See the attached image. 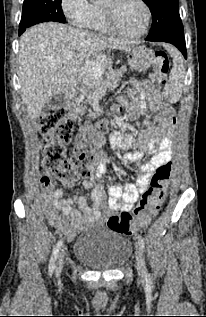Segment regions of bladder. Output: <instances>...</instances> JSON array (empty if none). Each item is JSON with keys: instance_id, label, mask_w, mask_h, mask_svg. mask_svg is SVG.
Returning a JSON list of instances; mask_svg holds the SVG:
<instances>
[{"instance_id": "31cf9c89", "label": "bladder", "mask_w": 206, "mask_h": 317, "mask_svg": "<svg viewBox=\"0 0 206 317\" xmlns=\"http://www.w3.org/2000/svg\"><path fill=\"white\" fill-rule=\"evenodd\" d=\"M132 253V243L117 232L101 227L86 228L74 244V256L93 270H113Z\"/></svg>"}]
</instances>
